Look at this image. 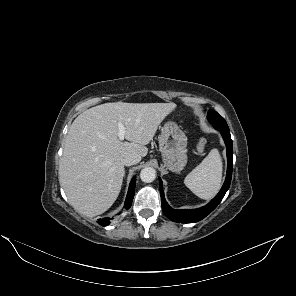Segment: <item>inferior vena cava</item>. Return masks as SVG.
Returning a JSON list of instances; mask_svg holds the SVG:
<instances>
[{"label": "inferior vena cava", "mask_w": 296, "mask_h": 296, "mask_svg": "<svg viewBox=\"0 0 296 296\" xmlns=\"http://www.w3.org/2000/svg\"><path fill=\"white\" fill-rule=\"evenodd\" d=\"M141 161V157L137 154H129L123 159V163L126 166L137 164Z\"/></svg>", "instance_id": "602c4592"}]
</instances>
